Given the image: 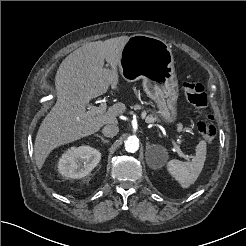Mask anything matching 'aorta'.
Returning <instances> with one entry per match:
<instances>
[{
	"mask_svg": "<svg viewBox=\"0 0 246 246\" xmlns=\"http://www.w3.org/2000/svg\"><path fill=\"white\" fill-rule=\"evenodd\" d=\"M139 149V141L137 138L134 137H129L126 141H125V150L127 152H131L134 153Z\"/></svg>",
	"mask_w": 246,
	"mask_h": 246,
	"instance_id": "obj_1",
	"label": "aorta"
}]
</instances>
